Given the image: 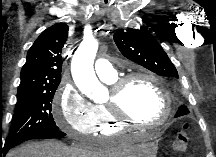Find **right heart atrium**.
Instances as JSON below:
<instances>
[{
  "label": "right heart atrium",
  "mask_w": 216,
  "mask_h": 157,
  "mask_svg": "<svg viewBox=\"0 0 216 157\" xmlns=\"http://www.w3.org/2000/svg\"><path fill=\"white\" fill-rule=\"evenodd\" d=\"M53 114L57 125L70 136H88L97 131L95 106L71 83H63L58 89Z\"/></svg>",
  "instance_id": "obj_1"
}]
</instances>
